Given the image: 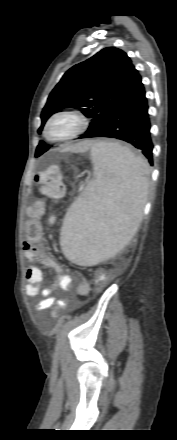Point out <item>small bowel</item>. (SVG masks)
Returning a JSON list of instances; mask_svg holds the SVG:
<instances>
[{"mask_svg": "<svg viewBox=\"0 0 177 440\" xmlns=\"http://www.w3.org/2000/svg\"><path fill=\"white\" fill-rule=\"evenodd\" d=\"M45 214L46 204L43 201H36L27 208L29 220L26 224L27 240L24 242L23 256L29 265L26 268L27 284L25 286V293L30 297H36L39 294L43 296V299L35 306L36 311L65 305L66 301L60 300L53 295L58 290L70 289L74 282H76V295L86 296L90 292V285L87 281L65 273L45 248L41 237V220ZM35 262L54 272L55 283L40 288L43 274L40 268L34 264Z\"/></svg>", "mask_w": 177, "mask_h": 440, "instance_id": "1", "label": "small bowel"}]
</instances>
